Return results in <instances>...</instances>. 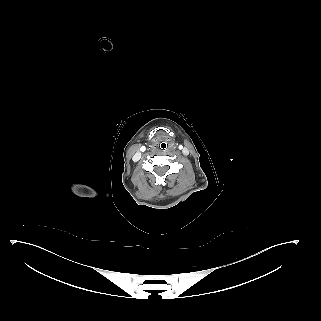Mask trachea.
Here are the masks:
<instances>
[{
    "label": "trachea",
    "mask_w": 321,
    "mask_h": 321,
    "mask_svg": "<svg viewBox=\"0 0 321 321\" xmlns=\"http://www.w3.org/2000/svg\"><path fill=\"white\" fill-rule=\"evenodd\" d=\"M160 148H161L162 150H165V149L167 148V145H166L165 143H162V144L160 145Z\"/></svg>",
    "instance_id": "3493384b"
}]
</instances>
